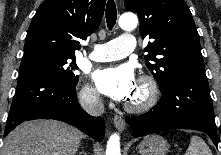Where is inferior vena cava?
Here are the masks:
<instances>
[{
	"mask_svg": "<svg viewBox=\"0 0 221 155\" xmlns=\"http://www.w3.org/2000/svg\"><path fill=\"white\" fill-rule=\"evenodd\" d=\"M79 102L82 108L91 115L99 116L104 113V105L96 91H87L80 95Z\"/></svg>",
	"mask_w": 221,
	"mask_h": 155,
	"instance_id": "1",
	"label": "inferior vena cava"
}]
</instances>
